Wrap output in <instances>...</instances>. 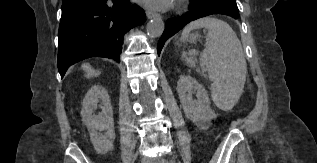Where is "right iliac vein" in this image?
Returning a JSON list of instances; mask_svg holds the SVG:
<instances>
[{"mask_svg": "<svg viewBox=\"0 0 317 163\" xmlns=\"http://www.w3.org/2000/svg\"><path fill=\"white\" fill-rule=\"evenodd\" d=\"M141 163H149L148 160H143Z\"/></svg>", "mask_w": 317, "mask_h": 163, "instance_id": "1", "label": "right iliac vein"}]
</instances>
